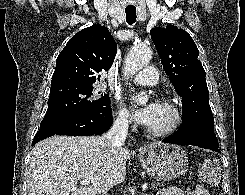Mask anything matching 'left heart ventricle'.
<instances>
[{
	"mask_svg": "<svg viewBox=\"0 0 245 195\" xmlns=\"http://www.w3.org/2000/svg\"><path fill=\"white\" fill-rule=\"evenodd\" d=\"M172 119V111L161 104H157L155 113L146 127L149 129H162L168 126Z\"/></svg>",
	"mask_w": 245,
	"mask_h": 195,
	"instance_id": "left-heart-ventricle-1",
	"label": "left heart ventricle"
}]
</instances>
